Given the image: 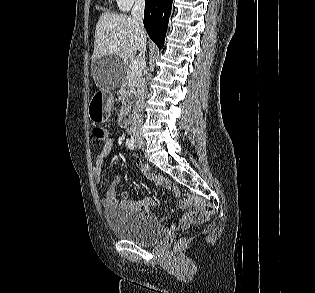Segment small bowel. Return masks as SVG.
Wrapping results in <instances>:
<instances>
[{"instance_id":"c3829d8e","label":"small bowel","mask_w":315,"mask_h":293,"mask_svg":"<svg viewBox=\"0 0 315 293\" xmlns=\"http://www.w3.org/2000/svg\"><path fill=\"white\" fill-rule=\"evenodd\" d=\"M113 145L114 140L108 136L104 140H102V149L100 153L96 156V160L93 166V179L94 184L97 187L102 185V165L104 159L109 155ZM137 166L141 171L145 172V168L140 160H137ZM120 182L121 176L118 175L107 187L106 194L101 200V204L104 207H111L114 204L118 203V200L116 198V192ZM155 182L161 185L162 187L166 188L167 190L171 191L175 195V197L180 199L181 193L179 188L175 184H173L172 182H170L169 180L162 176H157L155 178ZM122 195H125V192H122ZM122 203H128L143 212H148V210L155 205L154 199L149 196L142 197L136 201H131L125 196V198L122 200ZM179 208L181 210H188L180 221V226L182 228L189 227L190 225L197 223L200 220L198 210L194 209L191 203L179 200Z\"/></svg>"}]
</instances>
